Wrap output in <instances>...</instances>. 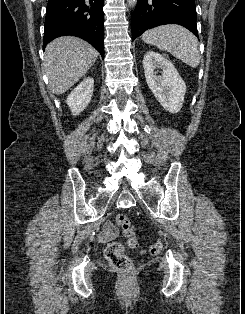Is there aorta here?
I'll return each instance as SVG.
<instances>
[{
  "label": "aorta",
  "instance_id": "aorta-1",
  "mask_svg": "<svg viewBox=\"0 0 245 314\" xmlns=\"http://www.w3.org/2000/svg\"><path fill=\"white\" fill-rule=\"evenodd\" d=\"M127 2L130 7H134L137 3V0H127Z\"/></svg>",
  "mask_w": 245,
  "mask_h": 314
}]
</instances>
